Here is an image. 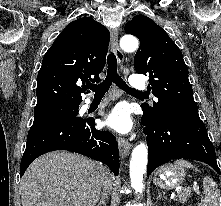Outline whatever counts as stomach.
<instances>
[{
	"label": "stomach",
	"mask_w": 221,
	"mask_h": 206,
	"mask_svg": "<svg viewBox=\"0 0 221 206\" xmlns=\"http://www.w3.org/2000/svg\"><path fill=\"white\" fill-rule=\"evenodd\" d=\"M185 177V170L173 164L159 168L153 177V183L162 189H173L179 186Z\"/></svg>",
	"instance_id": "stomach-1"
}]
</instances>
